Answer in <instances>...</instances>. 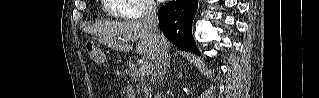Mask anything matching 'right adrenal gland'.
Here are the masks:
<instances>
[{"label":"right adrenal gland","mask_w":319,"mask_h":98,"mask_svg":"<svg viewBox=\"0 0 319 98\" xmlns=\"http://www.w3.org/2000/svg\"><path fill=\"white\" fill-rule=\"evenodd\" d=\"M170 61H171V57H169V62H168V72H169V69H170V66H171Z\"/></svg>","instance_id":"2a0ac1e0"}]
</instances>
